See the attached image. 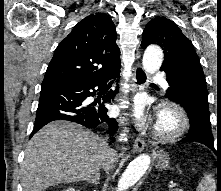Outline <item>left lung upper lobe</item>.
I'll list each match as a JSON object with an SVG mask.
<instances>
[{"label": "left lung upper lobe", "mask_w": 221, "mask_h": 191, "mask_svg": "<svg viewBox=\"0 0 221 191\" xmlns=\"http://www.w3.org/2000/svg\"><path fill=\"white\" fill-rule=\"evenodd\" d=\"M150 44H157L164 51L165 58L160 70L166 73V77H179L193 68H202L191 41L173 21L165 17H156L146 25L141 47L146 48ZM170 96H173L171 86L166 92V97ZM197 137V142L214 149L210 122L207 131L198 134Z\"/></svg>", "instance_id": "left-lung-upper-lobe-1"}]
</instances>
